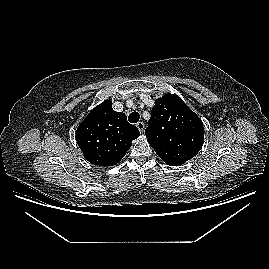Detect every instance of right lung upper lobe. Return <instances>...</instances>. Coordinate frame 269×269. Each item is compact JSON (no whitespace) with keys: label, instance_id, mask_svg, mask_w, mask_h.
I'll return each mask as SVG.
<instances>
[{"label":"right lung upper lobe","instance_id":"obj_1","mask_svg":"<svg viewBox=\"0 0 269 269\" xmlns=\"http://www.w3.org/2000/svg\"><path fill=\"white\" fill-rule=\"evenodd\" d=\"M140 135L128 123L123 112H116L112 102L106 100L95 107L81 122L76 131V141L85 158L94 165L117 164Z\"/></svg>","mask_w":269,"mask_h":269}]
</instances>
